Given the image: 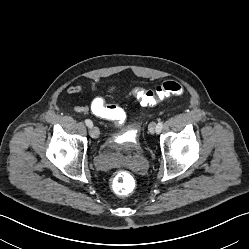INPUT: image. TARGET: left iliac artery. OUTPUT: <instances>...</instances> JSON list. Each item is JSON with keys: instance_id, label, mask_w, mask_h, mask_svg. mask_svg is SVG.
Masks as SVG:
<instances>
[{"instance_id": "obj_1", "label": "left iliac artery", "mask_w": 249, "mask_h": 249, "mask_svg": "<svg viewBox=\"0 0 249 249\" xmlns=\"http://www.w3.org/2000/svg\"><path fill=\"white\" fill-rule=\"evenodd\" d=\"M163 128V123L162 122H158V124L156 125V132L159 133Z\"/></svg>"}]
</instances>
